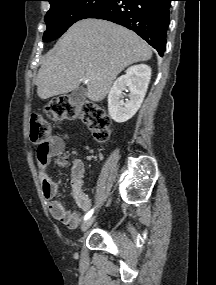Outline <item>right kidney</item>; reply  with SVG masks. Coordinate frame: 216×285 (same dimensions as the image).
Returning a JSON list of instances; mask_svg holds the SVG:
<instances>
[{
  "mask_svg": "<svg viewBox=\"0 0 216 285\" xmlns=\"http://www.w3.org/2000/svg\"><path fill=\"white\" fill-rule=\"evenodd\" d=\"M151 78V68L145 64L134 65L125 71L113 84L108 95L110 117L118 123L132 118L140 108ZM123 91H129L124 102Z\"/></svg>",
  "mask_w": 216,
  "mask_h": 285,
  "instance_id": "1",
  "label": "right kidney"
}]
</instances>
